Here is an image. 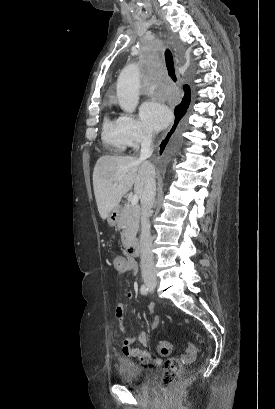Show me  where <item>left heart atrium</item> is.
Instances as JSON below:
<instances>
[{"instance_id": "1", "label": "left heart atrium", "mask_w": 275, "mask_h": 409, "mask_svg": "<svg viewBox=\"0 0 275 409\" xmlns=\"http://www.w3.org/2000/svg\"><path fill=\"white\" fill-rule=\"evenodd\" d=\"M142 117L154 131H160L171 122L169 108L160 101L146 102L141 108Z\"/></svg>"}]
</instances>
